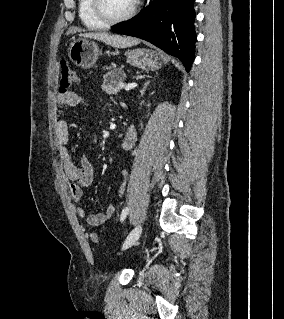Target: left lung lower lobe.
I'll return each mask as SVG.
<instances>
[{"instance_id": "obj_1", "label": "left lung lower lobe", "mask_w": 284, "mask_h": 319, "mask_svg": "<svg viewBox=\"0 0 284 319\" xmlns=\"http://www.w3.org/2000/svg\"><path fill=\"white\" fill-rule=\"evenodd\" d=\"M194 1L151 0L141 13L112 27V31L149 41L178 57L188 72L196 41Z\"/></svg>"}]
</instances>
